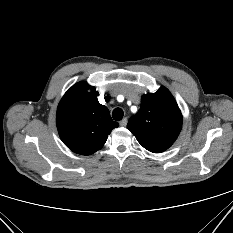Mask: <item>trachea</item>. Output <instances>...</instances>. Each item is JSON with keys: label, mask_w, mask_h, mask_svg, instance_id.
<instances>
[{"label": "trachea", "mask_w": 233, "mask_h": 233, "mask_svg": "<svg viewBox=\"0 0 233 233\" xmlns=\"http://www.w3.org/2000/svg\"><path fill=\"white\" fill-rule=\"evenodd\" d=\"M124 112L121 108L113 110L112 117L115 121H120L123 118Z\"/></svg>", "instance_id": "trachea-1"}]
</instances>
